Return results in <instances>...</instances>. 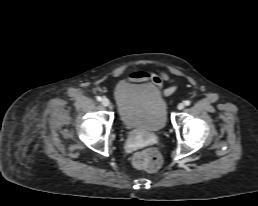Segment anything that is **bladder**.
I'll return each instance as SVG.
<instances>
[{"label": "bladder", "mask_w": 258, "mask_h": 206, "mask_svg": "<svg viewBox=\"0 0 258 206\" xmlns=\"http://www.w3.org/2000/svg\"><path fill=\"white\" fill-rule=\"evenodd\" d=\"M114 98L125 127L147 132L165 127L167 105L155 86L121 81L115 87Z\"/></svg>", "instance_id": "1"}]
</instances>
